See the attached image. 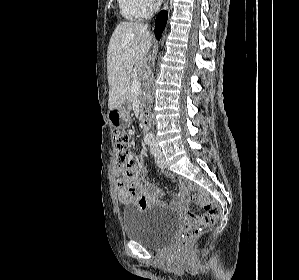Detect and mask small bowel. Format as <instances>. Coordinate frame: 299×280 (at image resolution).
<instances>
[{"instance_id": "small-bowel-1", "label": "small bowel", "mask_w": 299, "mask_h": 280, "mask_svg": "<svg viewBox=\"0 0 299 280\" xmlns=\"http://www.w3.org/2000/svg\"><path fill=\"white\" fill-rule=\"evenodd\" d=\"M117 190L119 201L125 205L134 204L138 208L168 205L176 211H183L189 197V183L180 178V190L169 203L161 200V190L153 184L144 181L146 168L139 158L132 156V163L126 168H119ZM171 177L170 173L166 174Z\"/></svg>"}]
</instances>
